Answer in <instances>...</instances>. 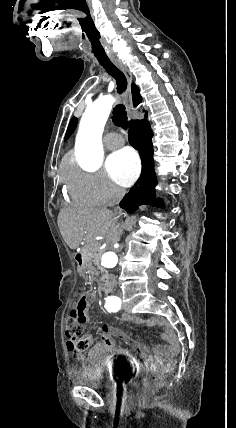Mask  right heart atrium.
I'll list each match as a JSON object with an SVG mask.
<instances>
[{"label": "right heart atrium", "instance_id": "d8ad5b80", "mask_svg": "<svg viewBox=\"0 0 236 428\" xmlns=\"http://www.w3.org/2000/svg\"><path fill=\"white\" fill-rule=\"evenodd\" d=\"M72 200L79 206H109L120 200L124 191L102 171L89 172L74 167L66 179Z\"/></svg>", "mask_w": 236, "mask_h": 428}]
</instances>
